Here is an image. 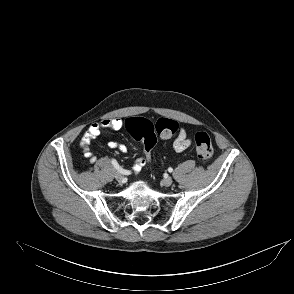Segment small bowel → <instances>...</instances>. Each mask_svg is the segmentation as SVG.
Wrapping results in <instances>:
<instances>
[{"label": "small bowel", "instance_id": "c3829d8e", "mask_svg": "<svg viewBox=\"0 0 294 294\" xmlns=\"http://www.w3.org/2000/svg\"><path fill=\"white\" fill-rule=\"evenodd\" d=\"M128 120L129 119L124 120L122 118H108L90 125V127L85 132L80 142L84 157L90 163H94L97 160V158L90 151V144L92 143V141L100 135L103 129L120 130L123 127L127 126ZM191 143V139L188 138L186 131L184 129H181L178 136L173 142V150L178 153L183 152L184 150L190 147ZM108 146L111 149H116L120 151L121 153L127 152V147L122 143L110 141L108 143ZM147 162L148 159L146 158L137 159L133 165L134 170L139 171Z\"/></svg>", "mask_w": 294, "mask_h": 294}]
</instances>
